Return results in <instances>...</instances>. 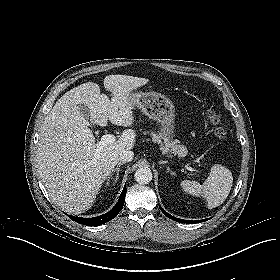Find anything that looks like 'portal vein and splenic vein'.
Wrapping results in <instances>:
<instances>
[{
  "label": "portal vein and splenic vein",
  "mask_w": 280,
  "mask_h": 280,
  "mask_svg": "<svg viewBox=\"0 0 280 280\" xmlns=\"http://www.w3.org/2000/svg\"><path fill=\"white\" fill-rule=\"evenodd\" d=\"M115 136L112 134H105L101 137L100 141L97 144V150L102 149L103 146L108 145V144H112L115 142ZM185 168L191 172H197L198 170H196L195 168H192L190 166H185Z\"/></svg>",
  "instance_id": "18ae733b"
}]
</instances>
